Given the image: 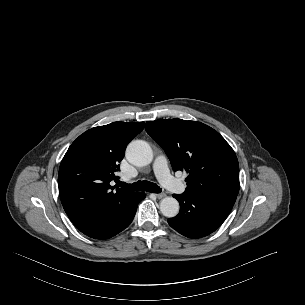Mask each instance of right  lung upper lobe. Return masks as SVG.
I'll use <instances>...</instances> for the list:
<instances>
[{
    "label": "right lung upper lobe",
    "mask_w": 305,
    "mask_h": 305,
    "mask_svg": "<svg viewBox=\"0 0 305 305\" xmlns=\"http://www.w3.org/2000/svg\"><path fill=\"white\" fill-rule=\"evenodd\" d=\"M144 128V122H113L81 134L66 152L58 174L64 210L72 222L106 212L136 192L110 185L128 143Z\"/></svg>",
    "instance_id": "obj_1"
}]
</instances>
